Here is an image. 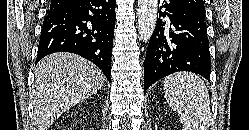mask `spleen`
Segmentation results:
<instances>
[{"mask_svg":"<svg viewBox=\"0 0 249 130\" xmlns=\"http://www.w3.org/2000/svg\"><path fill=\"white\" fill-rule=\"evenodd\" d=\"M166 100L178 112L183 130H208L210 98L206 85L196 74L179 72L165 78Z\"/></svg>","mask_w":249,"mask_h":130,"instance_id":"3e777b00","label":"spleen"}]
</instances>
